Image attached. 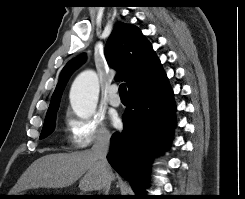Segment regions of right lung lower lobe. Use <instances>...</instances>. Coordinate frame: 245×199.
I'll use <instances>...</instances> for the list:
<instances>
[{"label":"right lung lower lobe","instance_id":"obj_1","mask_svg":"<svg viewBox=\"0 0 245 199\" xmlns=\"http://www.w3.org/2000/svg\"><path fill=\"white\" fill-rule=\"evenodd\" d=\"M123 114L124 129L111 138L110 165L145 196L153 156L170 141L175 123L173 92L167 78L144 92H131Z\"/></svg>","mask_w":245,"mask_h":199}]
</instances>
